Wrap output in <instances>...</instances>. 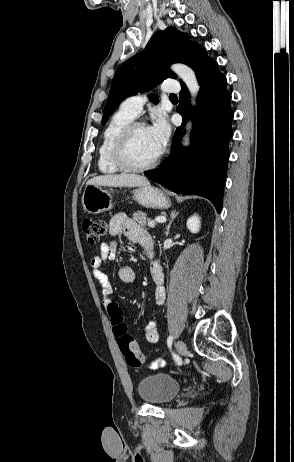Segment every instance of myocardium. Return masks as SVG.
I'll list each match as a JSON object with an SVG mask.
<instances>
[{
    "label": "myocardium",
    "mask_w": 294,
    "mask_h": 462,
    "mask_svg": "<svg viewBox=\"0 0 294 462\" xmlns=\"http://www.w3.org/2000/svg\"><path fill=\"white\" fill-rule=\"evenodd\" d=\"M139 127H146L139 121H132L127 124L117 135L111 150V158L113 163L121 170L127 172H144L152 169L160 161L163 152L161 151L153 160L144 164H133L129 159V145L134 132Z\"/></svg>",
    "instance_id": "f54148a6"
}]
</instances>
